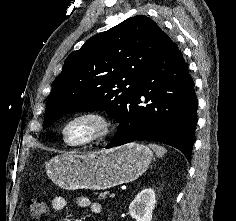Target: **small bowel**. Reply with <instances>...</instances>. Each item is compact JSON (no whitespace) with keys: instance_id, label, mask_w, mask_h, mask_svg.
Segmentation results:
<instances>
[{"instance_id":"1","label":"small bowel","mask_w":236,"mask_h":221,"mask_svg":"<svg viewBox=\"0 0 236 221\" xmlns=\"http://www.w3.org/2000/svg\"><path fill=\"white\" fill-rule=\"evenodd\" d=\"M76 205L80 208H89L93 215L102 213V205L99 202L91 201L85 196H80L75 201ZM66 207V199L61 196L54 197L51 200V208L53 211H62Z\"/></svg>"}]
</instances>
